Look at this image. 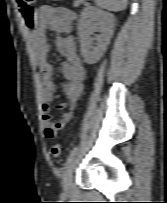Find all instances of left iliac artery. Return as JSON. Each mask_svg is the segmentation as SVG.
Wrapping results in <instances>:
<instances>
[{
  "instance_id": "1",
  "label": "left iliac artery",
  "mask_w": 167,
  "mask_h": 203,
  "mask_svg": "<svg viewBox=\"0 0 167 203\" xmlns=\"http://www.w3.org/2000/svg\"><path fill=\"white\" fill-rule=\"evenodd\" d=\"M77 151H78V147H77V146L74 147V148L71 150V152H70V154H69V156L67 157V160H66V162H65V165H66V166L73 160V158H74V156L76 155Z\"/></svg>"
}]
</instances>
